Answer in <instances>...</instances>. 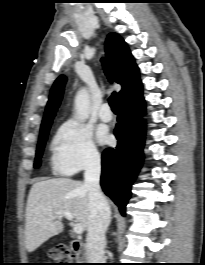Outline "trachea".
Wrapping results in <instances>:
<instances>
[{
	"label": "trachea",
	"mask_w": 205,
	"mask_h": 265,
	"mask_svg": "<svg viewBox=\"0 0 205 265\" xmlns=\"http://www.w3.org/2000/svg\"><path fill=\"white\" fill-rule=\"evenodd\" d=\"M101 62H102L105 74L109 79V82L112 83V77H111V74H110V71L108 69L106 61L102 58ZM109 105H110L113 112H117V94H116V92H113L112 95L110 96Z\"/></svg>",
	"instance_id": "trachea-1"
}]
</instances>
